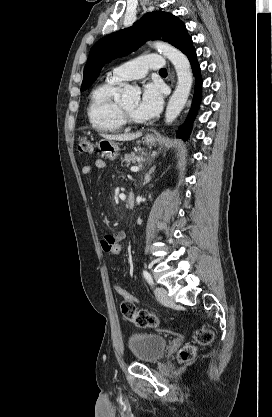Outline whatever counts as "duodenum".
<instances>
[{
	"label": "duodenum",
	"mask_w": 272,
	"mask_h": 417,
	"mask_svg": "<svg viewBox=\"0 0 272 417\" xmlns=\"http://www.w3.org/2000/svg\"><path fill=\"white\" fill-rule=\"evenodd\" d=\"M136 195L134 192H130L126 198L125 205L128 209H131L135 205Z\"/></svg>",
	"instance_id": "1"
}]
</instances>
